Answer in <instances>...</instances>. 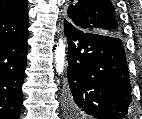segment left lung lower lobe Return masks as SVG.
<instances>
[{
    "label": "left lung lower lobe",
    "instance_id": "1",
    "mask_svg": "<svg viewBox=\"0 0 142 119\" xmlns=\"http://www.w3.org/2000/svg\"><path fill=\"white\" fill-rule=\"evenodd\" d=\"M68 40L67 105L95 119H126L131 86L122 41L85 32L64 20Z\"/></svg>",
    "mask_w": 142,
    "mask_h": 119
}]
</instances>
